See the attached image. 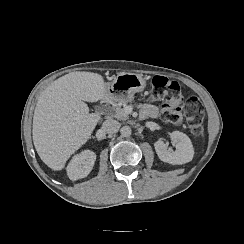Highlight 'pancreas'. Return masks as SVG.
Here are the masks:
<instances>
[{
	"label": "pancreas",
	"instance_id": "1",
	"mask_svg": "<svg viewBox=\"0 0 244 244\" xmlns=\"http://www.w3.org/2000/svg\"><path fill=\"white\" fill-rule=\"evenodd\" d=\"M120 103H126V102H122V101H120ZM122 111H123V110L120 109V107L118 106V107H116V108L114 109V113H113L112 115L115 116V117L118 118V119H121V120H126V119H128V115H125Z\"/></svg>",
	"mask_w": 244,
	"mask_h": 244
}]
</instances>
